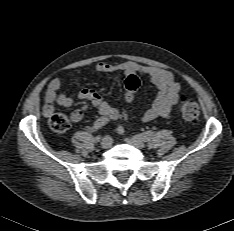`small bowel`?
I'll list each match as a JSON object with an SVG mask.
<instances>
[{"label": "small bowel", "instance_id": "1", "mask_svg": "<svg viewBox=\"0 0 234 231\" xmlns=\"http://www.w3.org/2000/svg\"><path fill=\"white\" fill-rule=\"evenodd\" d=\"M97 74H110L122 72L130 75L134 72H140L147 75L157 88L156 97L152 105L142 116V121L149 122L158 117L170 118L172 109L178 104L180 98L181 85L176 81L174 75L167 70L155 67L141 65L133 61H123L120 63L100 62L95 66ZM62 81L60 78H53L47 87L44 98L43 112L50 115L54 111L55 105L70 107L73 99L61 91ZM77 97L80 100L89 101L101 115L100 118L107 122L115 121L119 118L117 108L110 105L104 98L92 88H82L78 91ZM83 113L76 110L71 114L74 123L82 120Z\"/></svg>", "mask_w": 234, "mask_h": 231}]
</instances>
